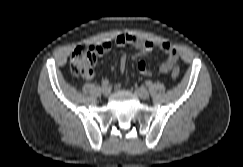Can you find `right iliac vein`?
<instances>
[{
	"label": "right iliac vein",
	"instance_id": "63e3f726",
	"mask_svg": "<svg viewBox=\"0 0 243 167\" xmlns=\"http://www.w3.org/2000/svg\"><path fill=\"white\" fill-rule=\"evenodd\" d=\"M101 92H102V94H103L104 96H109L111 90H110V88H109L108 86H104V87L102 86V88H101Z\"/></svg>",
	"mask_w": 243,
	"mask_h": 167
}]
</instances>
